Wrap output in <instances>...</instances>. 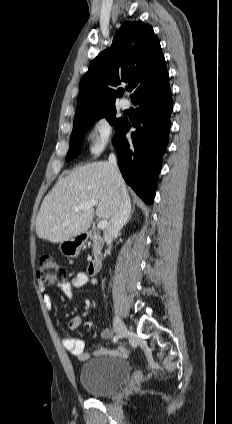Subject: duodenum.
I'll use <instances>...</instances> for the list:
<instances>
[{"instance_id": "410a0bca", "label": "duodenum", "mask_w": 232, "mask_h": 424, "mask_svg": "<svg viewBox=\"0 0 232 424\" xmlns=\"http://www.w3.org/2000/svg\"><path fill=\"white\" fill-rule=\"evenodd\" d=\"M89 236L90 235L88 233L83 234L84 239H88ZM101 267L102 253L100 251H96L88 264V272L91 275H95L100 271Z\"/></svg>"}]
</instances>
